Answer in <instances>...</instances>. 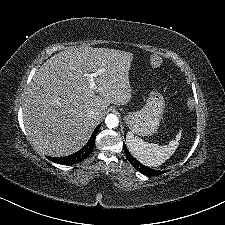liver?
Returning a JSON list of instances; mask_svg holds the SVG:
<instances>
[{"label":"liver","instance_id":"liver-1","mask_svg":"<svg viewBox=\"0 0 225 225\" xmlns=\"http://www.w3.org/2000/svg\"><path fill=\"white\" fill-rule=\"evenodd\" d=\"M132 59L130 52L92 47H71L48 59L32 78L23 106L33 147L56 157L79 150L110 104L130 102ZM89 72L96 89L89 87Z\"/></svg>","mask_w":225,"mask_h":225}]
</instances>
